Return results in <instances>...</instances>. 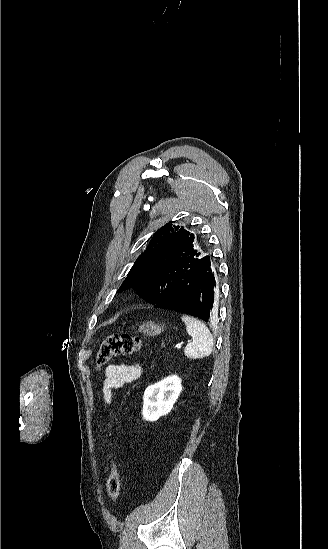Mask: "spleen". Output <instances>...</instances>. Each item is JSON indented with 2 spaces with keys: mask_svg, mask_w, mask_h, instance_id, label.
Returning <instances> with one entry per match:
<instances>
[{
  "mask_svg": "<svg viewBox=\"0 0 328 549\" xmlns=\"http://www.w3.org/2000/svg\"><path fill=\"white\" fill-rule=\"evenodd\" d=\"M181 319L186 325L188 335L192 337V343H188L184 349L185 357H188V359L209 357L213 351L214 343L208 327L199 319L188 317V315H183Z\"/></svg>",
  "mask_w": 328,
  "mask_h": 549,
  "instance_id": "3e777b00",
  "label": "spleen"
}]
</instances>
